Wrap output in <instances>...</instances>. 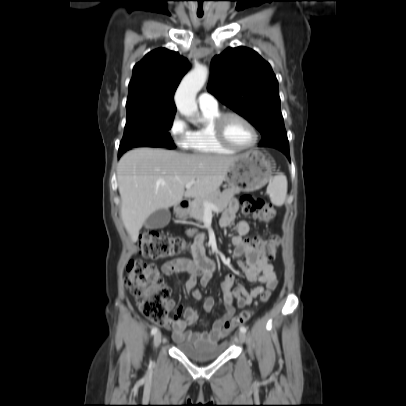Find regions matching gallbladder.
I'll use <instances>...</instances> for the list:
<instances>
[{
    "label": "gallbladder",
    "instance_id": "obj_1",
    "mask_svg": "<svg viewBox=\"0 0 406 406\" xmlns=\"http://www.w3.org/2000/svg\"><path fill=\"white\" fill-rule=\"evenodd\" d=\"M171 219V213L168 209H159L152 213L144 223L147 229H157L167 226Z\"/></svg>",
    "mask_w": 406,
    "mask_h": 406
}]
</instances>
